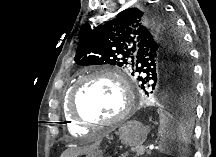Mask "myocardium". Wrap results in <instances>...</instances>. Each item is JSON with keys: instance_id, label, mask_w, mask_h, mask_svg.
Listing matches in <instances>:
<instances>
[{"instance_id": "1", "label": "myocardium", "mask_w": 216, "mask_h": 157, "mask_svg": "<svg viewBox=\"0 0 216 157\" xmlns=\"http://www.w3.org/2000/svg\"><path fill=\"white\" fill-rule=\"evenodd\" d=\"M93 78H107L114 81L120 88L123 97V107L119 114L110 120L97 121L86 119L76 109V96L80 87ZM133 108V95L128 81L123 75L111 68L94 70L81 77L72 87L67 103L69 116L78 124L84 127L116 126L123 123L130 115Z\"/></svg>"}]
</instances>
